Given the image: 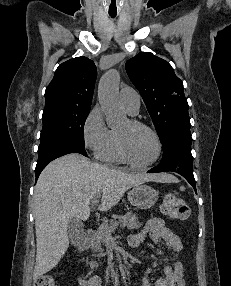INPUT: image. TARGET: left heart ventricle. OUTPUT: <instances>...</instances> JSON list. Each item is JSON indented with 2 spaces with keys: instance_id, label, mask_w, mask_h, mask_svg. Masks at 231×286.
I'll use <instances>...</instances> for the list:
<instances>
[{
  "instance_id": "b2bd125f",
  "label": "left heart ventricle",
  "mask_w": 231,
  "mask_h": 286,
  "mask_svg": "<svg viewBox=\"0 0 231 286\" xmlns=\"http://www.w3.org/2000/svg\"><path fill=\"white\" fill-rule=\"evenodd\" d=\"M122 138L128 156L137 164L151 161L156 154V143L150 132L132 127L126 121L116 131Z\"/></svg>"
}]
</instances>
